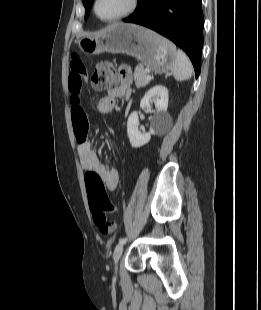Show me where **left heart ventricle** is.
Returning <instances> with one entry per match:
<instances>
[{
    "mask_svg": "<svg viewBox=\"0 0 261 310\" xmlns=\"http://www.w3.org/2000/svg\"><path fill=\"white\" fill-rule=\"evenodd\" d=\"M129 0H99L97 10L101 17L112 18L123 12Z\"/></svg>",
    "mask_w": 261,
    "mask_h": 310,
    "instance_id": "obj_1",
    "label": "left heart ventricle"
}]
</instances>
